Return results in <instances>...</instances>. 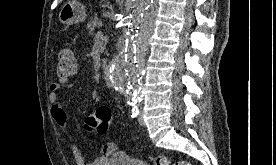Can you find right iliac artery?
<instances>
[{"label":"right iliac artery","instance_id":"right-iliac-artery-1","mask_svg":"<svg viewBox=\"0 0 276 165\" xmlns=\"http://www.w3.org/2000/svg\"><path fill=\"white\" fill-rule=\"evenodd\" d=\"M135 102H136L135 100H134V102H133V101H131V102L128 101V104H129V105H132V104L135 103Z\"/></svg>","mask_w":276,"mask_h":165}]
</instances>
